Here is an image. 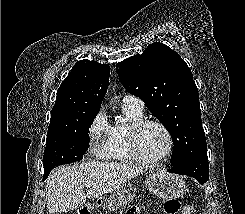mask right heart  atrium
Wrapping results in <instances>:
<instances>
[{
	"label": "right heart atrium",
	"instance_id": "right-heart-atrium-1",
	"mask_svg": "<svg viewBox=\"0 0 245 214\" xmlns=\"http://www.w3.org/2000/svg\"><path fill=\"white\" fill-rule=\"evenodd\" d=\"M112 126L106 112L100 110L93 118L88 129L89 145L92 153L100 159L109 157Z\"/></svg>",
	"mask_w": 245,
	"mask_h": 214
}]
</instances>
